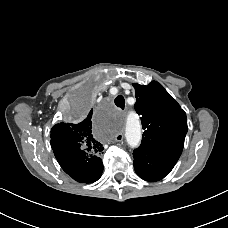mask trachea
<instances>
[{
	"instance_id": "obj_1",
	"label": "trachea",
	"mask_w": 228,
	"mask_h": 228,
	"mask_svg": "<svg viewBox=\"0 0 228 228\" xmlns=\"http://www.w3.org/2000/svg\"><path fill=\"white\" fill-rule=\"evenodd\" d=\"M115 105L121 109L125 107V99L123 96L119 95L115 98Z\"/></svg>"
}]
</instances>
